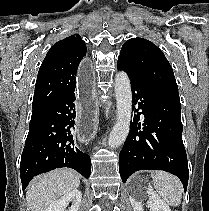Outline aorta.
Masks as SVG:
<instances>
[{
	"label": "aorta",
	"instance_id": "obj_1",
	"mask_svg": "<svg viewBox=\"0 0 209 211\" xmlns=\"http://www.w3.org/2000/svg\"><path fill=\"white\" fill-rule=\"evenodd\" d=\"M115 94L117 119L108 139L110 148L119 147L125 141L130 129L132 92L129 77L124 71H119L115 76Z\"/></svg>",
	"mask_w": 209,
	"mask_h": 211
}]
</instances>
